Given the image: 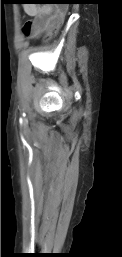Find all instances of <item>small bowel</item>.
Instances as JSON below:
<instances>
[{"instance_id":"small-bowel-1","label":"small bowel","mask_w":122,"mask_h":257,"mask_svg":"<svg viewBox=\"0 0 122 257\" xmlns=\"http://www.w3.org/2000/svg\"><path fill=\"white\" fill-rule=\"evenodd\" d=\"M25 11L33 19L24 26L26 32L33 38L39 37L43 33H48L49 27L54 26L57 21V9L49 5H26Z\"/></svg>"}]
</instances>
